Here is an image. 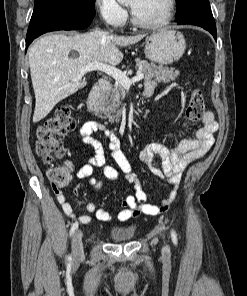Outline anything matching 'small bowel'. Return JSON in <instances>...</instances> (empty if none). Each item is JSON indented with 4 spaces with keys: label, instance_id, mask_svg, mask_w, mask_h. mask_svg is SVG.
Masks as SVG:
<instances>
[{
    "label": "small bowel",
    "instance_id": "small-bowel-1",
    "mask_svg": "<svg viewBox=\"0 0 247 296\" xmlns=\"http://www.w3.org/2000/svg\"><path fill=\"white\" fill-rule=\"evenodd\" d=\"M157 84L153 80H147L144 85V93L152 94ZM218 129V123L212 111L207 110L202 117V126L196 131L195 139H184L179 141L173 148H167L162 144H151L139 152L140 161L148 168L150 173L170 185L169 195L162 200L160 205L147 202L146 192L141 185L140 177L133 173L131 165L120 149V143L113 130L107 129L104 124L97 121H87L79 129V135L84 144L94 150L86 163L76 171L79 179H84L94 189L101 186V182L94 176L96 168H100L104 175L112 180L119 177L117 169L110 165L105 154L103 144L92 137L95 133L107 134V148L117 167L125 174V179L133 184V192L126 195L122 201L123 209L117 214L116 219L124 222L136 218L142 214L156 216L166 212L176 197L178 185L185 168L195 159L206 154L214 143V133ZM160 158V164L156 161ZM83 184H79L74 192L79 195ZM57 201L67 216L78 219L83 224L92 222L88 215L77 216L70 202L62 191H55ZM89 212H94L95 218L102 222H110L113 217L106 209L98 207L96 203L86 206Z\"/></svg>",
    "mask_w": 247,
    "mask_h": 296
}]
</instances>
